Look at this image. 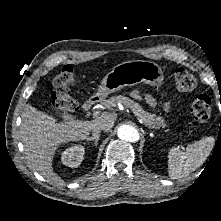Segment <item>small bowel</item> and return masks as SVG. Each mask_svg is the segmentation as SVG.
Wrapping results in <instances>:
<instances>
[{
	"label": "small bowel",
	"instance_id": "small-bowel-1",
	"mask_svg": "<svg viewBox=\"0 0 221 221\" xmlns=\"http://www.w3.org/2000/svg\"><path fill=\"white\" fill-rule=\"evenodd\" d=\"M131 96L135 99H145L148 104L153 102V100L148 95L144 94L140 90H133Z\"/></svg>",
	"mask_w": 221,
	"mask_h": 221
}]
</instances>
